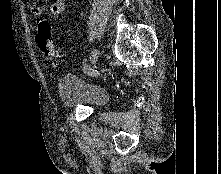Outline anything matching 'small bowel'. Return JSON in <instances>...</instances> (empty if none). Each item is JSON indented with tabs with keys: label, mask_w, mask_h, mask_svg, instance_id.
<instances>
[{
	"label": "small bowel",
	"mask_w": 221,
	"mask_h": 174,
	"mask_svg": "<svg viewBox=\"0 0 221 174\" xmlns=\"http://www.w3.org/2000/svg\"><path fill=\"white\" fill-rule=\"evenodd\" d=\"M66 10V2L65 0H55L49 7V13L54 17H59L64 14ZM31 14L39 18L42 14V9L39 5L32 3L30 5Z\"/></svg>",
	"instance_id": "obj_1"
}]
</instances>
